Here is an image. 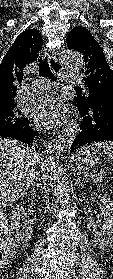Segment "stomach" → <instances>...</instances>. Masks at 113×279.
I'll list each match as a JSON object with an SVG mask.
<instances>
[{
	"mask_svg": "<svg viewBox=\"0 0 113 279\" xmlns=\"http://www.w3.org/2000/svg\"><path fill=\"white\" fill-rule=\"evenodd\" d=\"M98 160V151L93 146L79 148L72 158L73 164L78 168L93 167L97 164Z\"/></svg>",
	"mask_w": 113,
	"mask_h": 279,
	"instance_id": "1",
	"label": "stomach"
}]
</instances>
